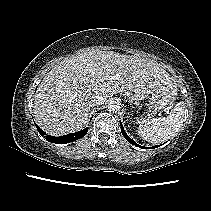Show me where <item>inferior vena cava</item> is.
<instances>
[{
	"instance_id": "obj_1",
	"label": "inferior vena cava",
	"mask_w": 211,
	"mask_h": 211,
	"mask_svg": "<svg viewBox=\"0 0 211 211\" xmlns=\"http://www.w3.org/2000/svg\"><path fill=\"white\" fill-rule=\"evenodd\" d=\"M104 102V98L100 95H94L89 101L90 107L101 105Z\"/></svg>"
}]
</instances>
